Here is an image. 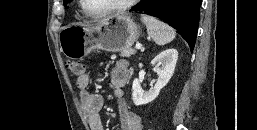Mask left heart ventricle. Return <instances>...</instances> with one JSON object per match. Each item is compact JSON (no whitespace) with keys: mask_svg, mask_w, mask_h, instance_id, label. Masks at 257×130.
<instances>
[{"mask_svg":"<svg viewBox=\"0 0 257 130\" xmlns=\"http://www.w3.org/2000/svg\"><path fill=\"white\" fill-rule=\"evenodd\" d=\"M125 0H85L86 8L94 13L105 11Z\"/></svg>","mask_w":257,"mask_h":130,"instance_id":"left-heart-ventricle-1","label":"left heart ventricle"}]
</instances>
